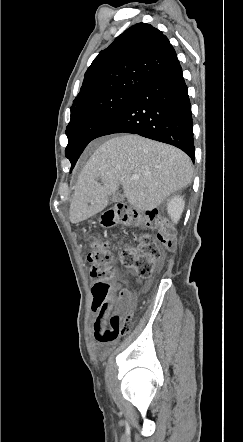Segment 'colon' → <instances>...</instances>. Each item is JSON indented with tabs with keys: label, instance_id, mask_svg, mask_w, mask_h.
Listing matches in <instances>:
<instances>
[{
	"label": "colon",
	"instance_id": "colon-1",
	"mask_svg": "<svg viewBox=\"0 0 243 442\" xmlns=\"http://www.w3.org/2000/svg\"><path fill=\"white\" fill-rule=\"evenodd\" d=\"M117 224L145 225L158 229L154 236H141L136 248L125 246L121 250V263L125 266H133L141 277L147 278L152 275L154 263L161 256V246L169 251L175 248V236L158 217L156 209L132 212L126 206L117 204L102 215L101 225L109 228ZM110 258L108 243L98 237L91 238L88 262L90 278L93 282L92 307L94 308L111 305L115 297V289L111 283L114 270L110 265ZM133 318L134 309L132 307L114 314L110 319V327L102 334L101 340L113 341L128 333L132 327Z\"/></svg>",
	"mask_w": 243,
	"mask_h": 442
}]
</instances>
